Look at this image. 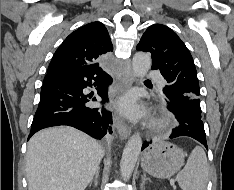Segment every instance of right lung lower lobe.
Wrapping results in <instances>:
<instances>
[{"instance_id": "98d812e1", "label": "right lung lower lobe", "mask_w": 234, "mask_h": 190, "mask_svg": "<svg viewBox=\"0 0 234 190\" xmlns=\"http://www.w3.org/2000/svg\"><path fill=\"white\" fill-rule=\"evenodd\" d=\"M111 83V76L97 63L45 76L28 139L41 129L58 125L75 127L96 139H101L108 131L111 133V112L89 107L87 103L91 97L83 94L84 88L94 85L102 103L107 102V87Z\"/></svg>"}]
</instances>
